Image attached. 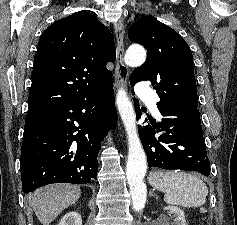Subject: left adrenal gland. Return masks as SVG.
Instances as JSON below:
<instances>
[{
    "label": "left adrenal gland",
    "mask_w": 237,
    "mask_h": 225,
    "mask_svg": "<svg viewBox=\"0 0 237 225\" xmlns=\"http://www.w3.org/2000/svg\"><path fill=\"white\" fill-rule=\"evenodd\" d=\"M149 194H150V196H154V197H156V199H158V198H159L157 195H155V194H154V191H150V193H149Z\"/></svg>",
    "instance_id": "1"
}]
</instances>
